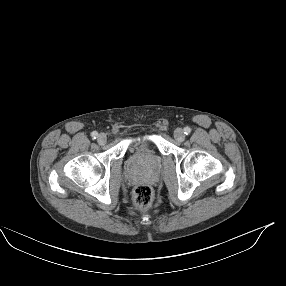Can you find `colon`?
<instances>
[{"label":"colon","mask_w":286,"mask_h":286,"mask_svg":"<svg viewBox=\"0 0 286 286\" xmlns=\"http://www.w3.org/2000/svg\"><path fill=\"white\" fill-rule=\"evenodd\" d=\"M153 200V192L149 185L138 184L133 190V202L134 205L141 209H147L150 207Z\"/></svg>","instance_id":"1"}]
</instances>
